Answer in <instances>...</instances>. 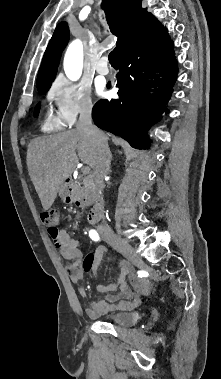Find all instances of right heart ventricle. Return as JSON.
Returning a JSON list of instances; mask_svg holds the SVG:
<instances>
[{"label": "right heart ventricle", "mask_w": 221, "mask_h": 379, "mask_svg": "<svg viewBox=\"0 0 221 379\" xmlns=\"http://www.w3.org/2000/svg\"><path fill=\"white\" fill-rule=\"evenodd\" d=\"M62 125L63 123L60 121V119L48 111L41 123V129L44 132H52L60 129Z\"/></svg>", "instance_id": "e07e8e85"}]
</instances>
